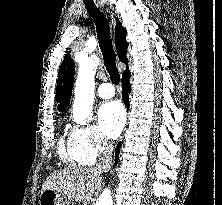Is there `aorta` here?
Here are the masks:
<instances>
[{"label":"aorta","mask_w":222,"mask_h":205,"mask_svg":"<svg viewBox=\"0 0 222 205\" xmlns=\"http://www.w3.org/2000/svg\"><path fill=\"white\" fill-rule=\"evenodd\" d=\"M98 61L87 57L81 63L75 86V100L73 103V118L79 124L92 116L95 90V70ZM113 190L106 188L99 196L96 205H113Z\"/></svg>","instance_id":"obj_1"}]
</instances>
